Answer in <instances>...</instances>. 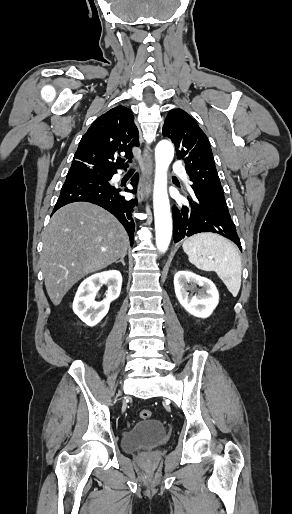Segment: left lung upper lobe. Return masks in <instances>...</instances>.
<instances>
[{
    "label": "left lung upper lobe",
    "instance_id": "5c2ea615",
    "mask_svg": "<svg viewBox=\"0 0 292 514\" xmlns=\"http://www.w3.org/2000/svg\"><path fill=\"white\" fill-rule=\"evenodd\" d=\"M163 136L172 140L177 158L184 160L194 193L225 198L209 140L196 121L184 110L173 109L165 119Z\"/></svg>",
    "mask_w": 292,
    "mask_h": 514
}]
</instances>
